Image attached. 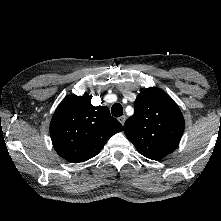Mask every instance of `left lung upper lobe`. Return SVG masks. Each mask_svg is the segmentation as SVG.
<instances>
[{
    "label": "left lung upper lobe",
    "instance_id": "5c2ea615",
    "mask_svg": "<svg viewBox=\"0 0 221 221\" xmlns=\"http://www.w3.org/2000/svg\"><path fill=\"white\" fill-rule=\"evenodd\" d=\"M184 130L178 105L161 89L142 90L134 102V114L124 124V133L143 156L158 160L172 153Z\"/></svg>",
    "mask_w": 221,
    "mask_h": 221
}]
</instances>
